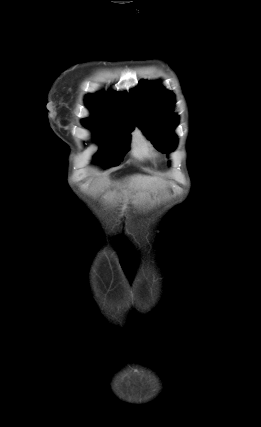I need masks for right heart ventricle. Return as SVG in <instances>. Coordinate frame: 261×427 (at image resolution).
I'll return each mask as SVG.
<instances>
[{"instance_id": "1", "label": "right heart ventricle", "mask_w": 261, "mask_h": 427, "mask_svg": "<svg viewBox=\"0 0 261 427\" xmlns=\"http://www.w3.org/2000/svg\"><path fill=\"white\" fill-rule=\"evenodd\" d=\"M130 154L141 162H155L157 153L151 140L140 129L133 131L130 139Z\"/></svg>"}]
</instances>
